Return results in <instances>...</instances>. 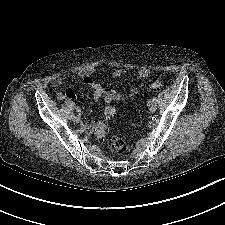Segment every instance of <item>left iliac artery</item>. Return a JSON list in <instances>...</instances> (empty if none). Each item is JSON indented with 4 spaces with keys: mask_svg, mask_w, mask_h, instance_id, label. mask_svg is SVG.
I'll list each match as a JSON object with an SVG mask.
<instances>
[{
    "mask_svg": "<svg viewBox=\"0 0 225 225\" xmlns=\"http://www.w3.org/2000/svg\"><path fill=\"white\" fill-rule=\"evenodd\" d=\"M157 102V98L156 97H153L152 98V103H156Z\"/></svg>",
    "mask_w": 225,
    "mask_h": 225,
    "instance_id": "left-iliac-artery-1",
    "label": "left iliac artery"
}]
</instances>
